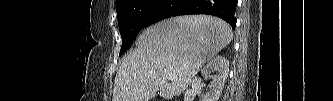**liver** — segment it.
<instances>
[{
  "label": "liver",
  "mask_w": 333,
  "mask_h": 101,
  "mask_svg": "<svg viewBox=\"0 0 333 101\" xmlns=\"http://www.w3.org/2000/svg\"><path fill=\"white\" fill-rule=\"evenodd\" d=\"M232 39L230 25L208 15L172 17L148 27L116 74L112 101H149L156 94L169 100L180 95ZM170 74L173 79H166Z\"/></svg>",
  "instance_id": "6515ba94"
}]
</instances>
